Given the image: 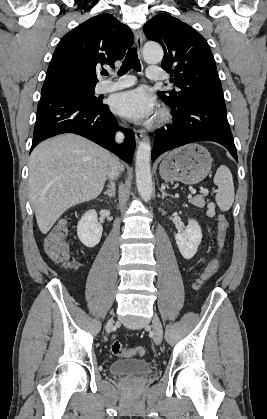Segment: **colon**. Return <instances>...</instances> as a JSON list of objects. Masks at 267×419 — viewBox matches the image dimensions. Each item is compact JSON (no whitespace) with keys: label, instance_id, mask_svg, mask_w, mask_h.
<instances>
[{"label":"colon","instance_id":"1","mask_svg":"<svg viewBox=\"0 0 267 419\" xmlns=\"http://www.w3.org/2000/svg\"><path fill=\"white\" fill-rule=\"evenodd\" d=\"M228 221L224 216L218 218L217 245L220 251L224 245L226 233L228 230ZM69 231V223L67 220L58 221L47 234L44 240V249L49 258L57 264L65 267H73L74 262L71 257L69 246L66 242V236ZM219 268V258H213L205 268L204 272L197 279L195 289L198 290L207 280L215 275ZM110 351L115 356H142L146 353L143 346H137L126 349L120 341H113Z\"/></svg>","mask_w":267,"mask_h":419}]
</instances>
